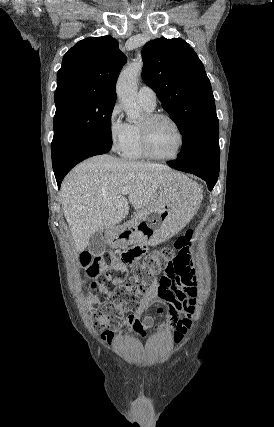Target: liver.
Listing matches in <instances>:
<instances>
[{"instance_id":"liver-1","label":"liver","mask_w":274,"mask_h":427,"mask_svg":"<svg viewBox=\"0 0 274 427\" xmlns=\"http://www.w3.org/2000/svg\"><path fill=\"white\" fill-rule=\"evenodd\" d=\"M172 172L168 166L118 160L114 156H94L73 168L64 178L61 204L76 251H83L96 231L113 227L129 214V202L136 212L146 210L157 190L171 194ZM186 178V176H184ZM129 188L128 200L122 196Z\"/></svg>"}]
</instances>
